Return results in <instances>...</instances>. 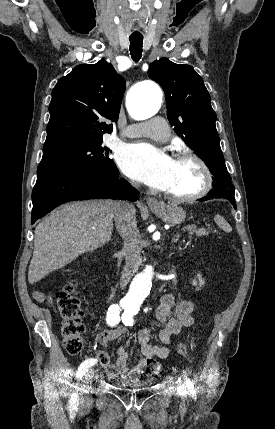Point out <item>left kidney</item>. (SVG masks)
Segmentation results:
<instances>
[{
  "mask_svg": "<svg viewBox=\"0 0 275 429\" xmlns=\"http://www.w3.org/2000/svg\"><path fill=\"white\" fill-rule=\"evenodd\" d=\"M197 278H198V281L196 280V279H194L193 281H192V285L193 286H199V287H202V286H204V284H205V281H204V279H202V275L201 274H197Z\"/></svg>",
  "mask_w": 275,
  "mask_h": 429,
  "instance_id": "5707ae66",
  "label": "left kidney"
}]
</instances>
